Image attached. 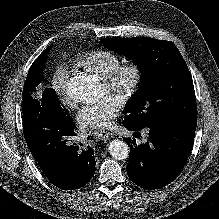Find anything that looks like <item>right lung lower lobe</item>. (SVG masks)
I'll return each mask as SVG.
<instances>
[{
  "label": "right lung lower lobe",
  "instance_id": "98d812e1",
  "mask_svg": "<svg viewBox=\"0 0 219 219\" xmlns=\"http://www.w3.org/2000/svg\"><path fill=\"white\" fill-rule=\"evenodd\" d=\"M23 116L26 143L53 185L74 190L93 177L96 170L93 149L76 143L78 131L72 119L64 120L60 114L43 109L38 101L31 102Z\"/></svg>",
  "mask_w": 219,
  "mask_h": 219
}]
</instances>
